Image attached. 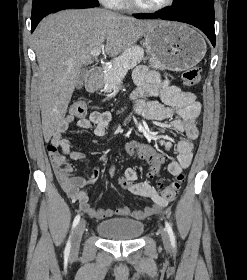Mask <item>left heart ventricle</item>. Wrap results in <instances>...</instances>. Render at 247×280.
<instances>
[{"label":"left heart ventricle","instance_id":"1","mask_svg":"<svg viewBox=\"0 0 247 280\" xmlns=\"http://www.w3.org/2000/svg\"><path fill=\"white\" fill-rule=\"evenodd\" d=\"M164 1L165 0H138V2L144 6H156L162 4Z\"/></svg>","mask_w":247,"mask_h":280}]
</instances>
